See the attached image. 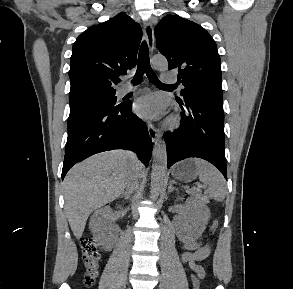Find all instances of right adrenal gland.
Masks as SVG:
<instances>
[{
	"label": "right adrenal gland",
	"mask_w": 293,
	"mask_h": 289,
	"mask_svg": "<svg viewBox=\"0 0 293 289\" xmlns=\"http://www.w3.org/2000/svg\"><path fill=\"white\" fill-rule=\"evenodd\" d=\"M120 198H124L125 200H128L130 198V194L125 192L120 196Z\"/></svg>",
	"instance_id": "2a0ac1e0"
}]
</instances>
